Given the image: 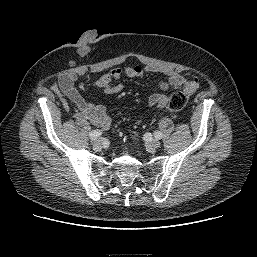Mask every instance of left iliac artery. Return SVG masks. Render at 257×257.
<instances>
[{
	"instance_id": "44dca946",
	"label": "left iliac artery",
	"mask_w": 257,
	"mask_h": 257,
	"mask_svg": "<svg viewBox=\"0 0 257 257\" xmlns=\"http://www.w3.org/2000/svg\"><path fill=\"white\" fill-rule=\"evenodd\" d=\"M154 136L157 138V139H161L162 138V133L160 131H155L154 132Z\"/></svg>"
}]
</instances>
